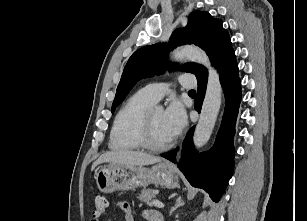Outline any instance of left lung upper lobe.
Wrapping results in <instances>:
<instances>
[{"instance_id":"left-lung-upper-lobe-1","label":"left lung upper lobe","mask_w":307,"mask_h":221,"mask_svg":"<svg viewBox=\"0 0 307 221\" xmlns=\"http://www.w3.org/2000/svg\"><path fill=\"white\" fill-rule=\"evenodd\" d=\"M192 43L206 51L216 68L234 52L229 34L222 27V21L213 18L208 12L196 10L189 15L185 28L175 30L168 45L158 43L145 46L132 54L117 87L112 112L137 81L162 72L168 50L177 45ZM181 70L195 74L197 80L207 78V70L197 63H186Z\"/></svg>"}]
</instances>
